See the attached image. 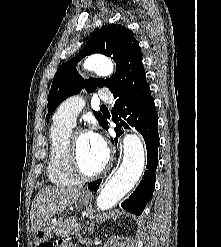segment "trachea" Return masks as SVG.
Wrapping results in <instances>:
<instances>
[{
    "label": "trachea",
    "instance_id": "1",
    "mask_svg": "<svg viewBox=\"0 0 221 247\" xmlns=\"http://www.w3.org/2000/svg\"><path fill=\"white\" fill-rule=\"evenodd\" d=\"M100 108L101 109H107V107L105 105H101Z\"/></svg>",
    "mask_w": 221,
    "mask_h": 247
}]
</instances>
